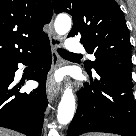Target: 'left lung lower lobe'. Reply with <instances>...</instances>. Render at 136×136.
<instances>
[{
    "label": "left lung lower lobe",
    "instance_id": "obj_1",
    "mask_svg": "<svg viewBox=\"0 0 136 136\" xmlns=\"http://www.w3.org/2000/svg\"><path fill=\"white\" fill-rule=\"evenodd\" d=\"M91 85L78 92L79 105L67 136L87 132L136 136V105L131 71L96 69Z\"/></svg>",
    "mask_w": 136,
    "mask_h": 136
}]
</instances>
